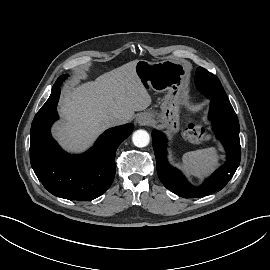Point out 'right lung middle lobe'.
Wrapping results in <instances>:
<instances>
[{"label":"right lung middle lobe","mask_w":270,"mask_h":270,"mask_svg":"<svg viewBox=\"0 0 270 270\" xmlns=\"http://www.w3.org/2000/svg\"><path fill=\"white\" fill-rule=\"evenodd\" d=\"M66 77H68L67 74H66V75H62L61 77H59V78L57 79V81L55 82V84H54V86H53L52 89H55V88L59 87L60 84H61V81H62L63 79H65Z\"/></svg>","instance_id":"right-lung-middle-lobe-1"}]
</instances>
